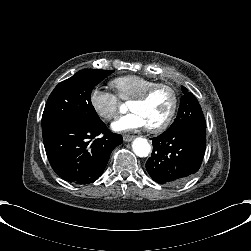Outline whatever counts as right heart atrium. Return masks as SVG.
<instances>
[{"mask_svg": "<svg viewBox=\"0 0 251 251\" xmlns=\"http://www.w3.org/2000/svg\"><path fill=\"white\" fill-rule=\"evenodd\" d=\"M88 101L93 111L106 120L115 117L120 109L119 97L106 88L93 87Z\"/></svg>", "mask_w": 251, "mask_h": 251, "instance_id": "d8ad5b80", "label": "right heart atrium"}]
</instances>
